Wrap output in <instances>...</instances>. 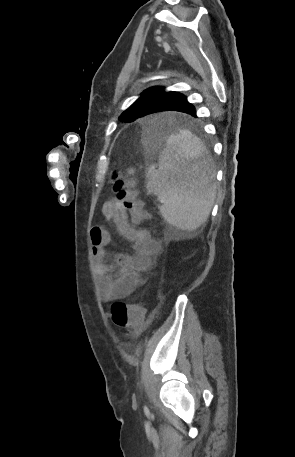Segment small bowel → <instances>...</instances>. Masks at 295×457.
Returning <instances> with one entry per match:
<instances>
[{
  "label": "small bowel",
  "instance_id": "c3829d8e",
  "mask_svg": "<svg viewBox=\"0 0 295 457\" xmlns=\"http://www.w3.org/2000/svg\"><path fill=\"white\" fill-rule=\"evenodd\" d=\"M102 215L112 221L119 233L132 242L133 254H110L107 246L111 241L109 231L103 226L91 230L92 253L95 270L101 280L102 297L105 301L123 299L142 284V274L148 272L155 257L160 253V243L148 230L136 228L128 221L127 212L117 198L106 201Z\"/></svg>",
  "mask_w": 295,
  "mask_h": 457
}]
</instances>
